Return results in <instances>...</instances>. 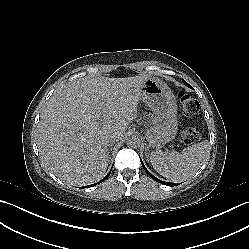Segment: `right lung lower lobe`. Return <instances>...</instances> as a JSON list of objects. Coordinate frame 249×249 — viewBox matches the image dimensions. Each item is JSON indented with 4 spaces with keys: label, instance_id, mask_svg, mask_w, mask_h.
Returning a JSON list of instances; mask_svg holds the SVG:
<instances>
[{
    "label": "right lung lower lobe",
    "instance_id": "1",
    "mask_svg": "<svg viewBox=\"0 0 249 249\" xmlns=\"http://www.w3.org/2000/svg\"><path fill=\"white\" fill-rule=\"evenodd\" d=\"M110 173H111V171H110ZM110 173H109V174H110ZM109 174H108L103 180H105V179L109 176ZM103 180L99 181V182L96 183V184L101 183ZM96 184H92V185H89V186H87V187H92V186H95Z\"/></svg>",
    "mask_w": 249,
    "mask_h": 249
}]
</instances>
